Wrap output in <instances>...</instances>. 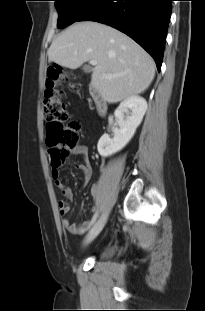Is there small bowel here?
<instances>
[{"instance_id":"c3829d8e","label":"small bowel","mask_w":205,"mask_h":311,"mask_svg":"<svg viewBox=\"0 0 205 311\" xmlns=\"http://www.w3.org/2000/svg\"><path fill=\"white\" fill-rule=\"evenodd\" d=\"M73 155L81 156L83 158L82 162H79L75 167L81 170L84 174V182L88 183L93 176V167L92 163L88 157V148L86 145L80 144L73 151ZM52 177L55 181V184L61 194L68 200H71L73 197L72 191L69 186L62 180L57 170L52 171ZM97 193V186L93 185L91 187V195L95 196ZM58 210L59 214L63 217L62 225L63 227L73 234H82L88 228H90L91 220L84 221L82 223H74L66 218L70 211V206L67 201L59 200L58 201Z\"/></svg>"}]
</instances>
